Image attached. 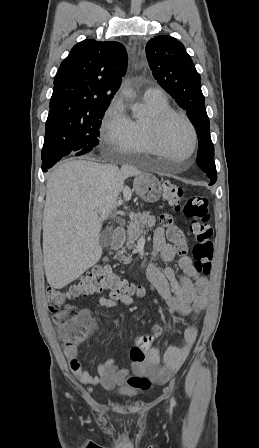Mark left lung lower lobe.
<instances>
[{
    "label": "left lung lower lobe",
    "mask_w": 259,
    "mask_h": 448,
    "mask_svg": "<svg viewBox=\"0 0 259 448\" xmlns=\"http://www.w3.org/2000/svg\"><path fill=\"white\" fill-rule=\"evenodd\" d=\"M214 155H207L205 157L197 159L198 166L207 174L211 182L209 185H213L217 180L216 167L214 163Z\"/></svg>",
    "instance_id": "1"
}]
</instances>
